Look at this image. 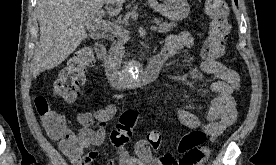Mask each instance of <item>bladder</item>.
<instances>
[{
  "mask_svg": "<svg viewBox=\"0 0 276 165\" xmlns=\"http://www.w3.org/2000/svg\"><path fill=\"white\" fill-rule=\"evenodd\" d=\"M132 165H150V164H148V163H143V162H136V163H134V164H132Z\"/></svg>",
  "mask_w": 276,
  "mask_h": 165,
  "instance_id": "bladder-1",
  "label": "bladder"
}]
</instances>
